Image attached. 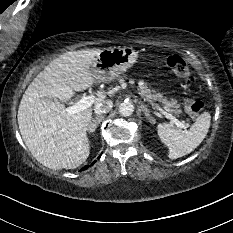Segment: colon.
<instances>
[{"label":"colon","instance_id":"1","mask_svg":"<svg viewBox=\"0 0 233 233\" xmlns=\"http://www.w3.org/2000/svg\"><path fill=\"white\" fill-rule=\"evenodd\" d=\"M167 64L178 77L188 82L191 80L188 64L182 56H170L167 59ZM184 108L189 114L198 115L203 110L204 104L200 100L186 98L184 100Z\"/></svg>","mask_w":233,"mask_h":233}]
</instances>
